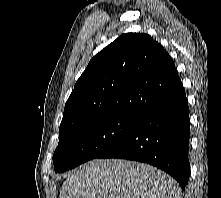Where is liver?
Returning <instances> with one entry per match:
<instances>
[{
    "instance_id": "liver-1",
    "label": "liver",
    "mask_w": 221,
    "mask_h": 198,
    "mask_svg": "<svg viewBox=\"0 0 221 198\" xmlns=\"http://www.w3.org/2000/svg\"><path fill=\"white\" fill-rule=\"evenodd\" d=\"M59 198H181L176 181L156 167L95 159L73 170Z\"/></svg>"
}]
</instances>
